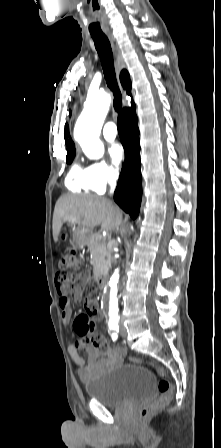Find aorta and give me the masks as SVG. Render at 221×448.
<instances>
[{"label":"aorta","mask_w":221,"mask_h":448,"mask_svg":"<svg viewBox=\"0 0 221 448\" xmlns=\"http://www.w3.org/2000/svg\"><path fill=\"white\" fill-rule=\"evenodd\" d=\"M111 103L110 95L105 92L88 96L82 113L74 128V138L90 159H100L104 154V145L99 139L104 119ZM119 273L115 271L109 289L110 312L117 311V289Z\"/></svg>","instance_id":"762f6f07"}]
</instances>
